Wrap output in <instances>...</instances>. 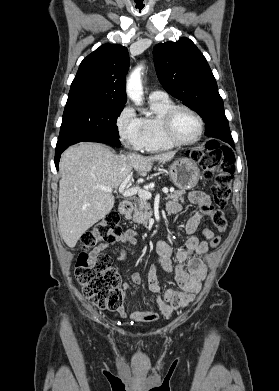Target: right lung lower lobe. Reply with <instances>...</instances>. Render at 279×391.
I'll use <instances>...</instances> for the list:
<instances>
[{"instance_id": "obj_1", "label": "right lung lower lobe", "mask_w": 279, "mask_h": 391, "mask_svg": "<svg viewBox=\"0 0 279 391\" xmlns=\"http://www.w3.org/2000/svg\"><path fill=\"white\" fill-rule=\"evenodd\" d=\"M89 141L111 144V145L116 146V147H119L121 145L118 137L113 136V135H103V136H100V137L93 138V139H91ZM66 148H68V146L56 147L55 166H56L57 169L59 168L58 163H59V159H60L61 153Z\"/></svg>"}]
</instances>
